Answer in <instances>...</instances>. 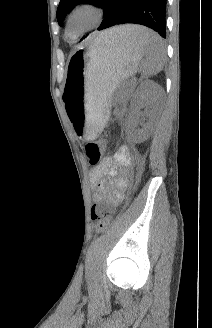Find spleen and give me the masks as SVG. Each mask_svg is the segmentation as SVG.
I'll return each mask as SVG.
<instances>
[{"mask_svg": "<svg viewBox=\"0 0 212 328\" xmlns=\"http://www.w3.org/2000/svg\"><path fill=\"white\" fill-rule=\"evenodd\" d=\"M145 55L142 72L146 77L153 76L163 69L165 48L162 39L145 27L134 26L131 40Z\"/></svg>", "mask_w": 212, "mask_h": 328, "instance_id": "3e777b00", "label": "spleen"}]
</instances>
